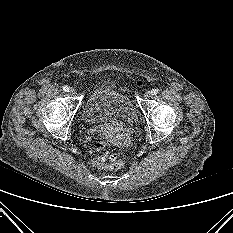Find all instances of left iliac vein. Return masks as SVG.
<instances>
[{
  "instance_id": "obj_1",
  "label": "left iliac vein",
  "mask_w": 233,
  "mask_h": 233,
  "mask_svg": "<svg viewBox=\"0 0 233 233\" xmlns=\"http://www.w3.org/2000/svg\"><path fill=\"white\" fill-rule=\"evenodd\" d=\"M151 95H152V92H151V91H147V92H145V94H144V98H145V99H149V98L151 97Z\"/></svg>"
}]
</instances>
